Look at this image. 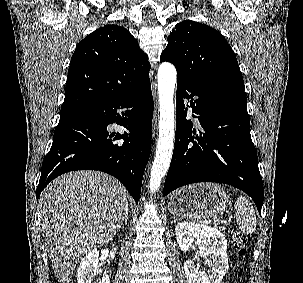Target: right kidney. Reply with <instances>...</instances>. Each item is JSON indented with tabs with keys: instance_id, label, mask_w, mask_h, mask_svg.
I'll list each match as a JSON object with an SVG mask.
<instances>
[{
	"instance_id": "right-kidney-1",
	"label": "right kidney",
	"mask_w": 303,
	"mask_h": 283,
	"mask_svg": "<svg viewBox=\"0 0 303 283\" xmlns=\"http://www.w3.org/2000/svg\"><path fill=\"white\" fill-rule=\"evenodd\" d=\"M100 266L99 251L97 249L90 251L80 262L77 283H93L94 275L101 272ZM98 283H110L109 276L104 274Z\"/></svg>"
}]
</instances>
